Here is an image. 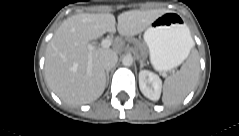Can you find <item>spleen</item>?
I'll list each match as a JSON object with an SVG mask.
<instances>
[{"instance_id":"obj_1","label":"spleen","mask_w":239,"mask_h":136,"mask_svg":"<svg viewBox=\"0 0 239 136\" xmlns=\"http://www.w3.org/2000/svg\"><path fill=\"white\" fill-rule=\"evenodd\" d=\"M188 38L192 48L194 41L191 38L190 32L188 33ZM199 70V58L194 52L181 67L180 71L165 79L162 96L163 103L165 105L181 103L196 86L199 78Z\"/></svg>"}]
</instances>
